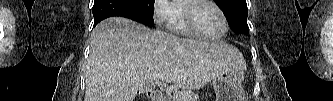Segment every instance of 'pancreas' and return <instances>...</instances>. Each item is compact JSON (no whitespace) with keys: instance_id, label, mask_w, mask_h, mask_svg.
Returning <instances> with one entry per match:
<instances>
[{"instance_id":"obj_1","label":"pancreas","mask_w":333,"mask_h":101,"mask_svg":"<svg viewBox=\"0 0 333 101\" xmlns=\"http://www.w3.org/2000/svg\"><path fill=\"white\" fill-rule=\"evenodd\" d=\"M167 101H199V95L191 90L176 92L167 96Z\"/></svg>"}]
</instances>
